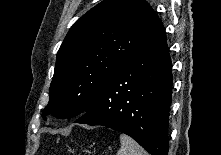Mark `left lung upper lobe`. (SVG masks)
<instances>
[{"label": "left lung upper lobe", "mask_w": 221, "mask_h": 155, "mask_svg": "<svg viewBox=\"0 0 221 155\" xmlns=\"http://www.w3.org/2000/svg\"><path fill=\"white\" fill-rule=\"evenodd\" d=\"M158 22L145 0H104L78 19L58 51L43 118L86 112Z\"/></svg>", "instance_id": "obj_1"}]
</instances>
